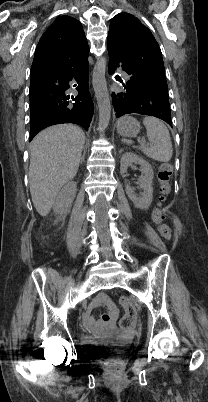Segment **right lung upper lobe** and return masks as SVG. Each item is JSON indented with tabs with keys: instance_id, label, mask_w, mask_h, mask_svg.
Listing matches in <instances>:
<instances>
[{
	"instance_id": "obj_1",
	"label": "right lung upper lobe",
	"mask_w": 208,
	"mask_h": 402,
	"mask_svg": "<svg viewBox=\"0 0 208 402\" xmlns=\"http://www.w3.org/2000/svg\"><path fill=\"white\" fill-rule=\"evenodd\" d=\"M88 47L82 24L70 17H58L37 45L31 71L61 66Z\"/></svg>"
}]
</instances>
